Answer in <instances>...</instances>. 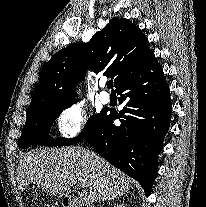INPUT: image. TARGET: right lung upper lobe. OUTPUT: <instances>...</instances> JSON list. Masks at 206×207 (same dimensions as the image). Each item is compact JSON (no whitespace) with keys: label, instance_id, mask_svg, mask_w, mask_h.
<instances>
[{"label":"right lung upper lobe","instance_id":"cb5924a9","mask_svg":"<svg viewBox=\"0 0 206 207\" xmlns=\"http://www.w3.org/2000/svg\"><path fill=\"white\" fill-rule=\"evenodd\" d=\"M154 56L147 37L128 19L113 18L87 43L77 42L55 53L44 65L26 111L73 100L86 70L114 79L115 87L134 76Z\"/></svg>","mask_w":206,"mask_h":207}]
</instances>
